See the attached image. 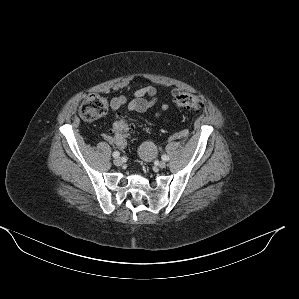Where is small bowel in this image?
<instances>
[{
    "label": "small bowel",
    "instance_id": "small-bowel-1",
    "mask_svg": "<svg viewBox=\"0 0 299 299\" xmlns=\"http://www.w3.org/2000/svg\"><path fill=\"white\" fill-rule=\"evenodd\" d=\"M133 96L134 98L131 100H128L124 95L113 97L110 100V109L116 111L121 107L126 106L131 112L143 113L157 103V89L151 85L135 89L133 91ZM169 105L170 103L167 99L155 113V118L166 121L167 119L164 118L163 115L168 110ZM102 136L107 142L118 146L113 135L104 133Z\"/></svg>",
    "mask_w": 299,
    "mask_h": 299
}]
</instances>
